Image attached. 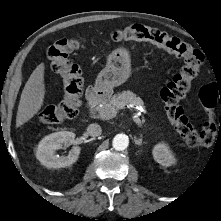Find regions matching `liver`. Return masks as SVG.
<instances>
[{
  "instance_id": "liver-1",
  "label": "liver",
  "mask_w": 221,
  "mask_h": 221,
  "mask_svg": "<svg viewBox=\"0 0 221 221\" xmlns=\"http://www.w3.org/2000/svg\"><path fill=\"white\" fill-rule=\"evenodd\" d=\"M44 70V63L39 64L25 84L18 106L16 127L28 122L43 105L45 95Z\"/></svg>"
}]
</instances>
